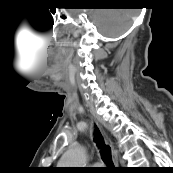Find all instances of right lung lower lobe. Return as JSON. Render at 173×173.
I'll list each match as a JSON object with an SVG mask.
<instances>
[{"label":"right lung lower lobe","mask_w":173,"mask_h":173,"mask_svg":"<svg viewBox=\"0 0 173 173\" xmlns=\"http://www.w3.org/2000/svg\"><path fill=\"white\" fill-rule=\"evenodd\" d=\"M119 172H125V171H123V170H119Z\"/></svg>","instance_id":"1"}]
</instances>
